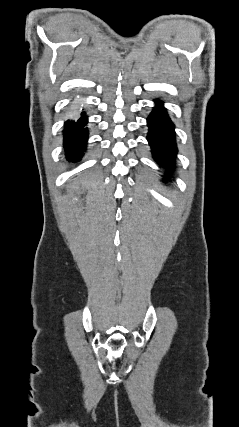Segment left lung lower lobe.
Wrapping results in <instances>:
<instances>
[{"instance_id":"1","label":"left lung lower lobe","mask_w":239,"mask_h":427,"mask_svg":"<svg viewBox=\"0 0 239 427\" xmlns=\"http://www.w3.org/2000/svg\"><path fill=\"white\" fill-rule=\"evenodd\" d=\"M147 123L149 127L147 139L154 159L164 167L173 168L177 153L174 125L161 101L156 100V107L148 117Z\"/></svg>"}]
</instances>
